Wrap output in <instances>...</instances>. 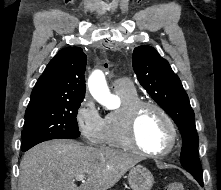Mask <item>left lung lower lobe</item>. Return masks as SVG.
Wrapping results in <instances>:
<instances>
[{
	"instance_id": "left-lung-lower-lobe-1",
	"label": "left lung lower lobe",
	"mask_w": 221,
	"mask_h": 190,
	"mask_svg": "<svg viewBox=\"0 0 221 190\" xmlns=\"http://www.w3.org/2000/svg\"><path fill=\"white\" fill-rule=\"evenodd\" d=\"M194 178L198 181V183L203 186V177L202 176H194Z\"/></svg>"
}]
</instances>
